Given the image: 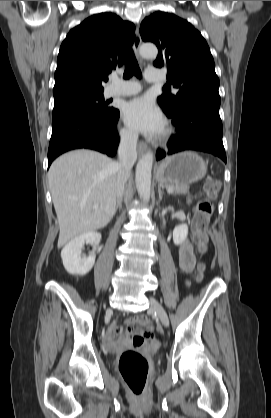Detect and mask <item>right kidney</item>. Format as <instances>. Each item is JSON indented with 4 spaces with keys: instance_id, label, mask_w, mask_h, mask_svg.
I'll use <instances>...</instances> for the list:
<instances>
[{
    "instance_id": "right-kidney-1",
    "label": "right kidney",
    "mask_w": 271,
    "mask_h": 418,
    "mask_svg": "<svg viewBox=\"0 0 271 418\" xmlns=\"http://www.w3.org/2000/svg\"><path fill=\"white\" fill-rule=\"evenodd\" d=\"M101 241V234L95 231L83 233L72 239L61 251L64 268L72 275L87 274L95 263V255H82L84 244L96 246Z\"/></svg>"
}]
</instances>
